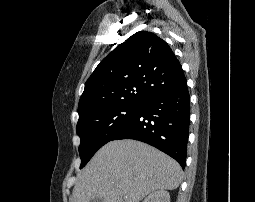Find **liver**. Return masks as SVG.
Returning <instances> with one entry per match:
<instances>
[{
	"instance_id": "obj_1",
	"label": "liver",
	"mask_w": 255,
	"mask_h": 202,
	"mask_svg": "<svg viewBox=\"0 0 255 202\" xmlns=\"http://www.w3.org/2000/svg\"><path fill=\"white\" fill-rule=\"evenodd\" d=\"M182 181L180 165L143 142L125 139L104 145L76 182L71 202H140L156 190H174Z\"/></svg>"
}]
</instances>
